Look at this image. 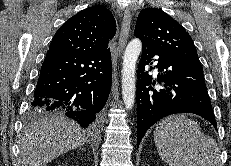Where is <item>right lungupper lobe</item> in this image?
Instances as JSON below:
<instances>
[{
    "instance_id": "1",
    "label": "right lung upper lobe",
    "mask_w": 231,
    "mask_h": 166,
    "mask_svg": "<svg viewBox=\"0 0 231 166\" xmlns=\"http://www.w3.org/2000/svg\"><path fill=\"white\" fill-rule=\"evenodd\" d=\"M115 33L112 13L102 5L92 6L72 16L57 30L49 50L70 54L103 52Z\"/></svg>"
}]
</instances>
